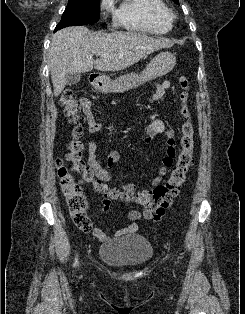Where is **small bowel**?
Wrapping results in <instances>:
<instances>
[{
    "instance_id": "1",
    "label": "small bowel",
    "mask_w": 245,
    "mask_h": 314,
    "mask_svg": "<svg viewBox=\"0 0 245 314\" xmlns=\"http://www.w3.org/2000/svg\"><path fill=\"white\" fill-rule=\"evenodd\" d=\"M155 92L151 97V102L159 101L164 97L167 90L171 87V82L168 80L156 83ZM83 112L87 118L89 125V131L94 133L99 130L100 124L96 121L93 113L92 104L89 100L84 99L82 104ZM164 136L166 138L165 144L166 149L164 157L161 160V166L156 172V174L151 178L153 185L159 184L167 176V170L172 167L174 158L176 156V140L174 131L166 127L165 123L161 119L153 120L145 129L144 141L150 143L155 137ZM97 145L94 141H91L88 145V154L87 162L96 172L98 178L104 183L112 179L113 175L111 173V168L119 161L120 154L118 151L112 150L109 151L106 156L105 166H102L97 161L96 156ZM121 188L125 193H136L138 191V186L135 183H122ZM102 202V211L108 212L110 204L101 200ZM164 214H156L149 211H137L133 210L128 214L129 219L132 223L124 228H121L114 232H106L100 228H94L91 233L95 239L100 242L109 243L115 239L135 233L139 229V225L136 223L137 220L143 218L147 222H157L161 219Z\"/></svg>"
}]
</instances>
